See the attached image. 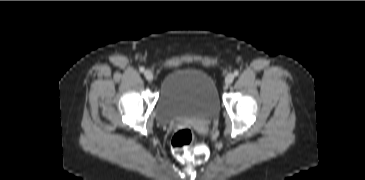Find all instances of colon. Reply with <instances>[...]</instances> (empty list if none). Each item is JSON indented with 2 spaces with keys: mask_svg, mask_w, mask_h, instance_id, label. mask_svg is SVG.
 <instances>
[{
  "mask_svg": "<svg viewBox=\"0 0 365 180\" xmlns=\"http://www.w3.org/2000/svg\"><path fill=\"white\" fill-rule=\"evenodd\" d=\"M171 148L179 161L187 165L201 164L209 157L206 146H195V134L190 128H182L173 135Z\"/></svg>",
  "mask_w": 365,
  "mask_h": 180,
  "instance_id": "5ec220e1",
  "label": "colon"
}]
</instances>
